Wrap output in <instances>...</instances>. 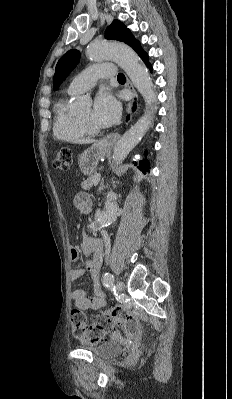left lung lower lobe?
<instances>
[{"instance_id": "0a47b994", "label": "left lung lower lobe", "mask_w": 232, "mask_h": 399, "mask_svg": "<svg viewBox=\"0 0 232 399\" xmlns=\"http://www.w3.org/2000/svg\"><path fill=\"white\" fill-rule=\"evenodd\" d=\"M137 54L141 57V59L144 61V63L147 65L148 68H152L151 65L149 64L148 61V55L146 52L143 51V49L140 47L139 49L136 50ZM135 109V106H134ZM127 119H129V117H127ZM140 168L143 170V172L145 173L146 171H148L149 169V164L146 161H140Z\"/></svg>"}]
</instances>
